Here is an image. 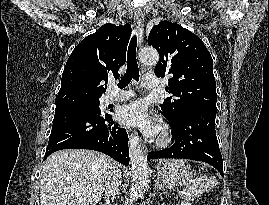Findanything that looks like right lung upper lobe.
<instances>
[{"instance_id": "cb5924a9", "label": "right lung upper lobe", "mask_w": 269, "mask_h": 205, "mask_svg": "<svg viewBox=\"0 0 269 205\" xmlns=\"http://www.w3.org/2000/svg\"><path fill=\"white\" fill-rule=\"evenodd\" d=\"M131 27L108 23L79 43L68 58L56 97V108L99 101L108 76L119 77L125 63Z\"/></svg>"}]
</instances>
